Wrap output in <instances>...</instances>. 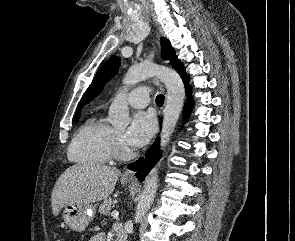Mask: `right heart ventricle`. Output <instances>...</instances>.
<instances>
[{"label":"right heart ventricle","instance_id":"obj_1","mask_svg":"<svg viewBox=\"0 0 295 241\" xmlns=\"http://www.w3.org/2000/svg\"><path fill=\"white\" fill-rule=\"evenodd\" d=\"M114 130L100 116L88 119L75 133L68 149L71 161L81 165H102L111 159Z\"/></svg>","mask_w":295,"mask_h":241}]
</instances>
